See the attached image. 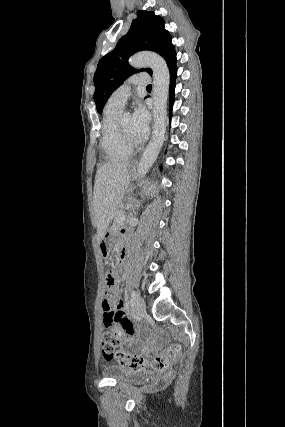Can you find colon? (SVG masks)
Returning <instances> with one entry per match:
<instances>
[{
  "label": "colon",
  "mask_w": 285,
  "mask_h": 427,
  "mask_svg": "<svg viewBox=\"0 0 285 427\" xmlns=\"http://www.w3.org/2000/svg\"><path fill=\"white\" fill-rule=\"evenodd\" d=\"M105 280H106V290L104 293V297H108L111 295L114 288V284H115L114 273L110 270L107 271L105 274ZM120 345H121V327L119 323H115L112 327H109V329L103 333V337H102L103 356L106 360L116 359L118 363L121 364L123 367L129 368L132 370L144 369L150 363L154 371L166 372L170 368L171 364L181 354V351H182L181 345L175 344L164 349L157 357H155L151 362H149V360L144 357L120 351L119 350Z\"/></svg>",
  "instance_id": "colon-1"
}]
</instances>
